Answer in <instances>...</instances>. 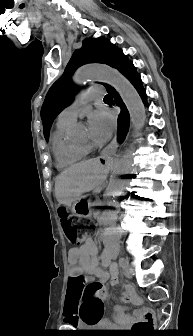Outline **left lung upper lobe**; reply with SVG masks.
Wrapping results in <instances>:
<instances>
[{
	"label": "left lung upper lobe",
	"mask_w": 193,
	"mask_h": 336,
	"mask_svg": "<svg viewBox=\"0 0 193 336\" xmlns=\"http://www.w3.org/2000/svg\"><path fill=\"white\" fill-rule=\"evenodd\" d=\"M120 51L109 41L98 38L85 39L82 47L73 53L63 75L50 87L41 108L46 140H48L49 130L55 117L73 101L76 87L72 84L71 76L74 71L88 63H103L114 67Z\"/></svg>",
	"instance_id": "left-lung-upper-lobe-1"
}]
</instances>
